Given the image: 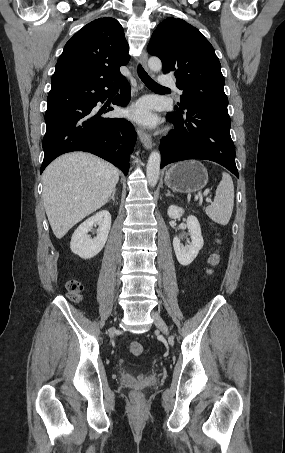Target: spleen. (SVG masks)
<instances>
[{"label": "spleen", "mask_w": 285, "mask_h": 453, "mask_svg": "<svg viewBox=\"0 0 285 453\" xmlns=\"http://www.w3.org/2000/svg\"><path fill=\"white\" fill-rule=\"evenodd\" d=\"M234 206V185L231 176L223 172L217 186L214 202L205 208L207 216L214 222L227 225Z\"/></svg>", "instance_id": "obj_1"}]
</instances>
